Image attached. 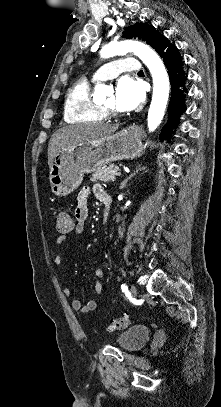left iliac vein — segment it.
Masks as SVG:
<instances>
[{
    "label": "left iliac vein",
    "mask_w": 221,
    "mask_h": 407,
    "mask_svg": "<svg viewBox=\"0 0 221 407\" xmlns=\"http://www.w3.org/2000/svg\"><path fill=\"white\" fill-rule=\"evenodd\" d=\"M130 293H131L132 296L136 297L137 289H136V287L134 285H131Z\"/></svg>",
    "instance_id": "left-iliac-vein-1"
}]
</instances>
